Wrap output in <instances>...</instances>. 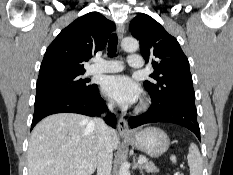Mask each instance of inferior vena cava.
I'll return each instance as SVG.
<instances>
[{
  "instance_id": "obj_1",
  "label": "inferior vena cava",
  "mask_w": 233,
  "mask_h": 175,
  "mask_svg": "<svg viewBox=\"0 0 233 175\" xmlns=\"http://www.w3.org/2000/svg\"><path fill=\"white\" fill-rule=\"evenodd\" d=\"M109 109H113V105L109 104ZM92 124L96 126L98 138V163L97 175H111L113 149L109 137V128L101 118H95Z\"/></svg>"
}]
</instances>
